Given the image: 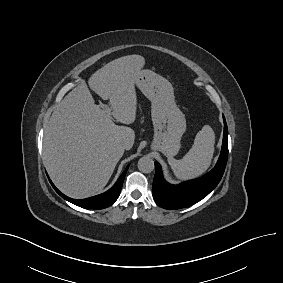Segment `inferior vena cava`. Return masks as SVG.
Returning a JSON list of instances; mask_svg holds the SVG:
<instances>
[{
    "label": "inferior vena cava",
    "mask_w": 283,
    "mask_h": 283,
    "mask_svg": "<svg viewBox=\"0 0 283 283\" xmlns=\"http://www.w3.org/2000/svg\"><path fill=\"white\" fill-rule=\"evenodd\" d=\"M121 146H122V148H124V149H127V148H128V146H127L126 143H122Z\"/></svg>",
    "instance_id": "602c4592"
}]
</instances>
